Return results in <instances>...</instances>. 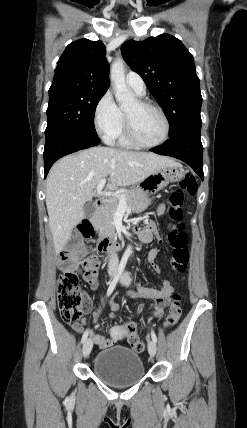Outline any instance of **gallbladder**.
<instances>
[{
  "instance_id": "1",
  "label": "gallbladder",
  "mask_w": 247,
  "mask_h": 428,
  "mask_svg": "<svg viewBox=\"0 0 247 428\" xmlns=\"http://www.w3.org/2000/svg\"><path fill=\"white\" fill-rule=\"evenodd\" d=\"M94 210H95V206L93 203L91 202L86 203L84 206L85 217L87 218L92 217Z\"/></svg>"
}]
</instances>
